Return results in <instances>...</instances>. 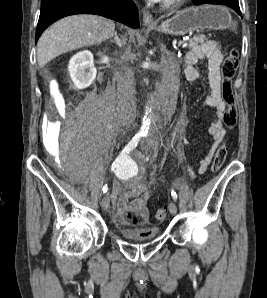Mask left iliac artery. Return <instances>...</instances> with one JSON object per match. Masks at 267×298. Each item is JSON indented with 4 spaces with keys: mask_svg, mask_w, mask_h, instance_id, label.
Masks as SVG:
<instances>
[{
    "mask_svg": "<svg viewBox=\"0 0 267 298\" xmlns=\"http://www.w3.org/2000/svg\"><path fill=\"white\" fill-rule=\"evenodd\" d=\"M171 196H172V198H173L174 201L177 200V193L174 190H172Z\"/></svg>",
    "mask_w": 267,
    "mask_h": 298,
    "instance_id": "1",
    "label": "left iliac artery"
}]
</instances>
